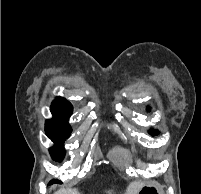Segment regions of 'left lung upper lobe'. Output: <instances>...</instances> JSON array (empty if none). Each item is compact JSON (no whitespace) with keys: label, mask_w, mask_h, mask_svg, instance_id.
I'll use <instances>...</instances> for the list:
<instances>
[{"label":"left lung upper lobe","mask_w":201,"mask_h":194,"mask_svg":"<svg viewBox=\"0 0 201 194\" xmlns=\"http://www.w3.org/2000/svg\"><path fill=\"white\" fill-rule=\"evenodd\" d=\"M150 133H151V135L154 136V135H158L159 131H157V130H151Z\"/></svg>","instance_id":"obj_1"}]
</instances>
